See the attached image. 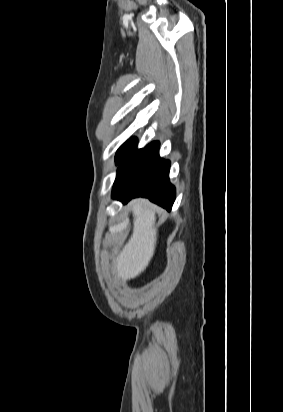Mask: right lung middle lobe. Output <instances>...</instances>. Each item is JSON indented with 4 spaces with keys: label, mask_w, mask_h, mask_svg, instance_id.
Here are the masks:
<instances>
[{
    "label": "right lung middle lobe",
    "mask_w": 283,
    "mask_h": 412,
    "mask_svg": "<svg viewBox=\"0 0 283 412\" xmlns=\"http://www.w3.org/2000/svg\"><path fill=\"white\" fill-rule=\"evenodd\" d=\"M137 142V138L133 137L120 146L115 155L116 165L124 161L137 148Z\"/></svg>",
    "instance_id": "obj_1"
}]
</instances>
